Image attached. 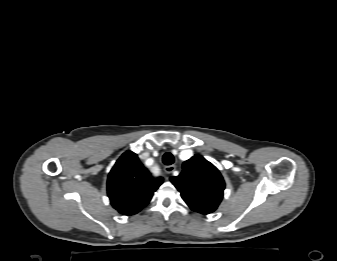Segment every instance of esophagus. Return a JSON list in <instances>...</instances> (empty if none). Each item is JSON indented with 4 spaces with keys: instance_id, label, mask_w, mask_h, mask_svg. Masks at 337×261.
Segmentation results:
<instances>
[{
    "instance_id": "esophagus-1",
    "label": "esophagus",
    "mask_w": 337,
    "mask_h": 261,
    "mask_svg": "<svg viewBox=\"0 0 337 261\" xmlns=\"http://www.w3.org/2000/svg\"><path fill=\"white\" fill-rule=\"evenodd\" d=\"M175 169H176L175 165H169V166H166L164 168V171H165V173L170 174V173L174 172Z\"/></svg>"
}]
</instances>
